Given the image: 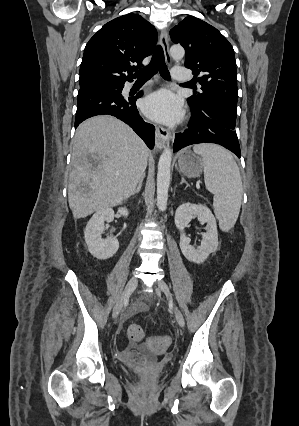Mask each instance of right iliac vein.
I'll use <instances>...</instances> for the list:
<instances>
[{"mask_svg": "<svg viewBox=\"0 0 299 426\" xmlns=\"http://www.w3.org/2000/svg\"><path fill=\"white\" fill-rule=\"evenodd\" d=\"M137 284H138V281L135 277H132V278L129 279V281L127 282V284L125 286V289H124L122 295L120 296V298L118 299L117 303L114 306L113 313H112L113 318H116L118 316L122 307L128 301L129 297L131 296V294L136 289Z\"/></svg>", "mask_w": 299, "mask_h": 426, "instance_id": "63e3f726", "label": "right iliac vein"}]
</instances>
